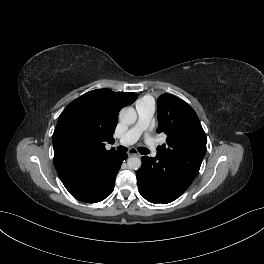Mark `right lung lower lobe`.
I'll return each instance as SVG.
<instances>
[{
	"instance_id": "obj_1",
	"label": "right lung lower lobe",
	"mask_w": 264,
	"mask_h": 264,
	"mask_svg": "<svg viewBox=\"0 0 264 264\" xmlns=\"http://www.w3.org/2000/svg\"><path fill=\"white\" fill-rule=\"evenodd\" d=\"M128 156L126 154L117 153L107 163L101 172L102 184L98 191L88 199H78L88 203H96L107 198L114 190L116 175L121 167L123 160Z\"/></svg>"
}]
</instances>
